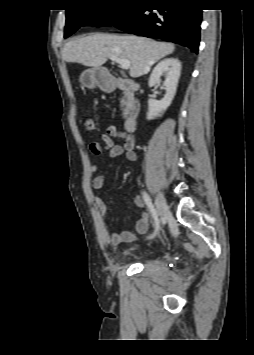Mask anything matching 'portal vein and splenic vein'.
Returning a JSON list of instances; mask_svg holds the SVG:
<instances>
[{
	"instance_id": "portal-vein-and-splenic-vein-1",
	"label": "portal vein and splenic vein",
	"mask_w": 254,
	"mask_h": 355,
	"mask_svg": "<svg viewBox=\"0 0 254 355\" xmlns=\"http://www.w3.org/2000/svg\"><path fill=\"white\" fill-rule=\"evenodd\" d=\"M110 59L116 63H118L123 69H129L130 68V61L128 59L124 58H119L116 56L110 57Z\"/></svg>"
}]
</instances>
